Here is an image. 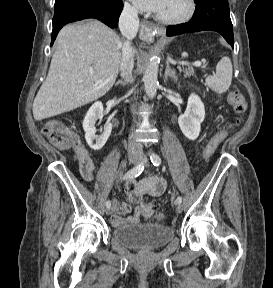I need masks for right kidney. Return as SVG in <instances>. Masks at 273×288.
Instances as JSON below:
<instances>
[{"label":"right kidney","mask_w":273,"mask_h":288,"mask_svg":"<svg viewBox=\"0 0 273 288\" xmlns=\"http://www.w3.org/2000/svg\"><path fill=\"white\" fill-rule=\"evenodd\" d=\"M102 118L103 105L101 102H95L87 111L83 121L86 142L93 150H100L107 142L112 131V124L107 122L103 133L96 135L95 123L98 119Z\"/></svg>","instance_id":"ca27d5eb"}]
</instances>
